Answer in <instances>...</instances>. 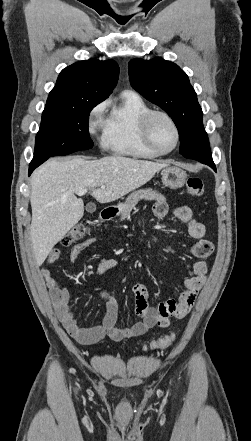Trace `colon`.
<instances>
[{
    "instance_id": "5ec220e1",
    "label": "colon",
    "mask_w": 251,
    "mask_h": 441,
    "mask_svg": "<svg viewBox=\"0 0 251 441\" xmlns=\"http://www.w3.org/2000/svg\"><path fill=\"white\" fill-rule=\"evenodd\" d=\"M186 191L187 194L191 197H200L203 195L204 188L203 182L199 178L191 177L186 182ZM89 233V229L84 224L75 225L71 228L61 239V244L63 246H70L78 240L82 239ZM176 333L172 332L157 341H154L150 344L149 347H146L145 350H162L169 347L175 340Z\"/></svg>"
}]
</instances>
